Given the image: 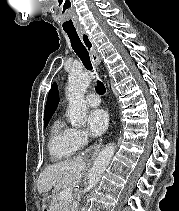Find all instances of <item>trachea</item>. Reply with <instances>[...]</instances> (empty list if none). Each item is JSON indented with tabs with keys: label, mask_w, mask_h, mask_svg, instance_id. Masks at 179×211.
<instances>
[{
	"label": "trachea",
	"mask_w": 179,
	"mask_h": 211,
	"mask_svg": "<svg viewBox=\"0 0 179 211\" xmlns=\"http://www.w3.org/2000/svg\"><path fill=\"white\" fill-rule=\"evenodd\" d=\"M70 41H71V46L75 53L78 55V57L81 59L83 65L85 66L86 69L92 70V64L91 60L88 54L87 49L81 42L79 35L77 34L76 31H66ZM97 92L100 95H103L106 91L104 84L101 81H97V86H96Z\"/></svg>",
	"instance_id": "trachea-1"
}]
</instances>
